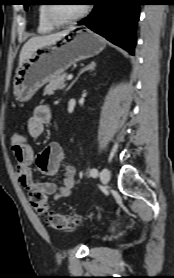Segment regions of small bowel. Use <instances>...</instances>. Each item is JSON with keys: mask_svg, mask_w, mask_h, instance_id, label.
Here are the masks:
<instances>
[{"mask_svg": "<svg viewBox=\"0 0 174 278\" xmlns=\"http://www.w3.org/2000/svg\"><path fill=\"white\" fill-rule=\"evenodd\" d=\"M51 119V107L47 104L38 105L28 120L29 135L32 138H39L44 132V127L50 123ZM12 151L17 162L18 181L26 190L29 192L41 191L45 195L52 196L55 200L72 194L76 186V171L73 166L65 163V154L59 143L51 142L37 155L28 141L20 146L12 144ZM33 165H36L43 174L50 176L63 171L62 184L37 181L33 176Z\"/></svg>", "mask_w": 174, "mask_h": 278, "instance_id": "obj_1", "label": "small bowel"}]
</instances>
